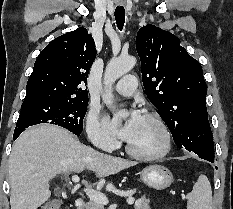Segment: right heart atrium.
<instances>
[{
  "label": "right heart atrium",
  "mask_w": 233,
  "mask_h": 209,
  "mask_svg": "<svg viewBox=\"0 0 233 209\" xmlns=\"http://www.w3.org/2000/svg\"><path fill=\"white\" fill-rule=\"evenodd\" d=\"M86 132L89 141L96 148L104 151H112L118 145L116 138L100 120L99 111L96 108H91L88 111Z\"/></svg>",
  "instance_id": "right-heart-atrium-1"
}]
</instances>
